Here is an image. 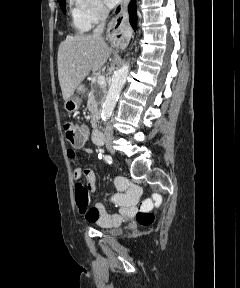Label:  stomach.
I'll return each instance as SVG.
<instances>
[{
    "label": "stomach",
    "mask_w": 240,
    "mask_h": 288,
    "mask_svg": "<svg viewBox=\"0 0 240 288\" xmlns=\"http://www.w3.org/2000/svg\"><path fill=\"white\" fill-rule=\"evenodd\" d=\"M85 91V88L83 85H80L77 88V91L75 94H73L67 101H65L64 107L65 109L71 113L79 109L81 105V97L80 94Z\"/></svg>",
    "instance_id": "0dacf381"
}]
</instances>
